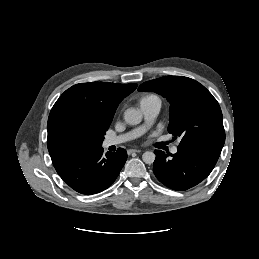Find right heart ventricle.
Returning a JSON list of instances; mask_svg holds the SVG:
<instances>
[{"label":"right heart ventricle","instance_id":"right-heart-ventricle-1","mask_svg":"<svg viewBox=\"0 0 259 259\" xmlns=\"http://www.w3.org/2000/svg\"><path fill=\"white\" fill-rule=\"evenodd\" d=\"M151 98H157V97L154 96V95H148V96L143 97V98L140 100V102H142V101H144V100H147V99H151Z\"/></svg>","mask_w":259,"mask_h":259}]
</instances>
